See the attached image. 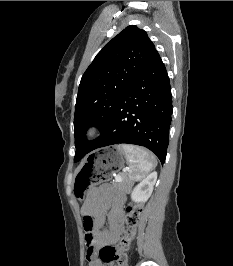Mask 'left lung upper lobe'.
I'll return each mask as SVG.
<instances>
[{
  "label": "left lung upper lobe",
  "instance_id": "1",
  "mask_svg": "<svg viewBox=\"0 0 233 266\" xmlns=\"http://www.w3.org/2000/svg\"><path fill=\"white\" fill-rule=\"evenodd\" d=\"M155 51L144 30L126 27L96 55L81 78L74 115V136L79 161L92 142L88 127L102 129L124 93L131 87Z\"/></svg>",
  "mask_w": 233,
  "mask_h": 266
}]
</instances>
